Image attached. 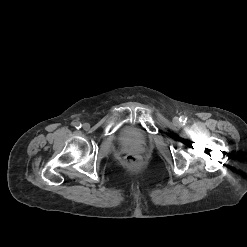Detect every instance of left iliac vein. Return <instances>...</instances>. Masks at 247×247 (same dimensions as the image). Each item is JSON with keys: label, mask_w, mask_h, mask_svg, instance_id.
Masks as SVG:
<instances>
[{"label": "left iliac vein", "mask_w": 247, "mask_h": 247, "mask_svg": "<svg viewBox=\"0 0 247 247\" xmlns=\"http://www.w3.org/2000/svg\"><path fill=\"white\" fill-rule=\"evenodd\" d=\"M173 121H174V123H179V119H178L177 117H175V118L173 119Z\"/></svg>", "instance_id": "obj_1"}]
</instances>
